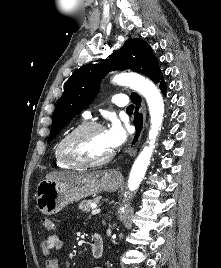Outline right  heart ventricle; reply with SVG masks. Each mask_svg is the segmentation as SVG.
Segmentation results:
<instances>
[{"label":"right heart ventricle","mask_w":221,"mask_h":268,"mask_svg":"<svg viewBox=\"0 0 221 268\" xmlns=\"http://www.w3.org/2000/svg\"><path fill=\"white\" fill-rule=\"evenodd\" d=\"M67 134H68V132L65 133V134L59 139V141L57 142V144L55 145V149H54V158H55V162H56V164H57L58 167L69 169V168H74V166L69 165V164H67L66 162H64V161L61 159L60 155H59V146H60V143H61V141L63 140V138H64Z\"/></svg>","instance_id":"e07e8e85"}]
</instances>
